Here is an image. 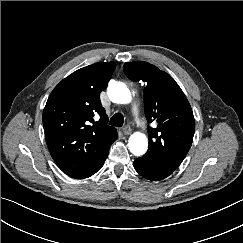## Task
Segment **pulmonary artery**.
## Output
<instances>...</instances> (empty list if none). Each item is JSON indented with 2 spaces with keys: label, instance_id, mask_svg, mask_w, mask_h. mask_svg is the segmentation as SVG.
Here are the masks:
<instances>
[{
  "label": "pulmonary artery",
  "instance_id": "e3ab8cb5",
  "mask_svg": "<svg viewBox=\"0 0 243 243\" xmlns=\"http://www.w3.org/2000/svg\"><path fill=\"white\" fill-rule=\"evenodd\" d=\"M133 111H134L135 116H137V107H136V105L134 106Z\"/></svg>",
  "mask_w": 243,
  "mask_h": 243
}]
</instances>
